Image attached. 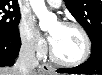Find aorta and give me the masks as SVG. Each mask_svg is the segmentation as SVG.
I'll return each instance as SVG.
<instances>
[{
    "label": "aorta",
    "mask_w": 102,
    "mask_h": 75,
    "mask_svg": "<svg viewBox=\"0 0 102 75\" xmlns=\"http://www.w3.org/2000/svg\"><path fill=\"white\" fill-rule=\"evenodd\" d=\"M30 5L39 18V26L42 30H47L54 22H56V16L48 12L44 0H30Z\"/></svg>",
    "instance_id": "762f6f07"
}]
</instances>
